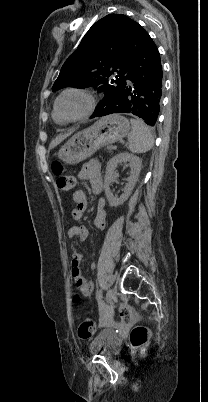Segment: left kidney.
I'll use <instances>...</instances> for the list:
<instances>
[{
    "instance_id": "left-kidney-1",
    "label": "left kidney",
    "mask_w": 208,
    "mask_h": 402,
    "mask_svg": "<svg viewBox=\"0 0 208 402\" xmlns=\"http://www.w3.org/2000/svg\"><path fill=\"white\" fill-rule=\"evenodd\" d=\"M126 162H129L131 168L130 176L127 180L128 184L124 188V194L120 198H115L110 190L111 182H114L115 178H117V176H114V170H116L118 164H126ZM141 166L142 160L138 156H134V154H128V152L116 154L114 158L109 160L104 178V190L110 206H120V204H124L128 200L136 182H138Z\"/></svg>"
}]
</instances>
